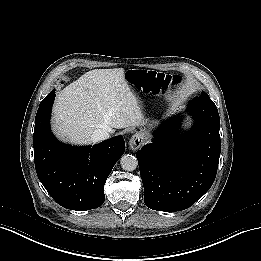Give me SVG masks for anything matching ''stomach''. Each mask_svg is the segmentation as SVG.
Returning a JSON list of instances; mask_svg holds the SVG:
<instances>
[{
  "mask_svg": "<svg viewBox=\"0 0 261 261\" xmlns=\"http://www.w3.org/2000/svg\"><path fill=\"white\" fill-rule=\"evenodd\" d=\"M146 127L140 132V137L146 141L149 142L152 138L151 131L158 125L157 121L154 120H146L145 121Z\"/></svg>",
  "mask_w": 261,
  "mask_h": 261,
  "instance_id": "obj_1",
  "label": "stomach"
}]
</instances>
